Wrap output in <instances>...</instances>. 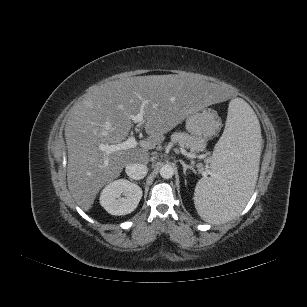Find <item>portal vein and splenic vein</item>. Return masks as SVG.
<instances>
[{"label": "portal vein and splenic vein", "mask_w": 307, "mask_h": 307, "mask_svg": "<svg viewBox=\"0 0 307 307\" xmlns=\"http://www.w3.org/2000/svg\"><path fill=\"white\" fill-rule=\"evenodd\" d=\"M132 120L134 123H142L143 120H144V114H143V110L141 109V111L139 113H137L136 115H133L132 116ZM137 146V141L135 139L134 136H129L127 138L126 141L124 142H120L118 144H112V145H108V144H99V149L101 151H103L106 155V158H105V165L108 164V156L113 153V152H116V151H120V150H127V149H130V148H134ZM183 154L189 158H196L197 156L194 155V154H190L188 152H186L185 150L183 151ZM208 174V171H204L202 173V175L204 177H206Z\"/></svg>", "instance_id": "1"}]
</instances>
